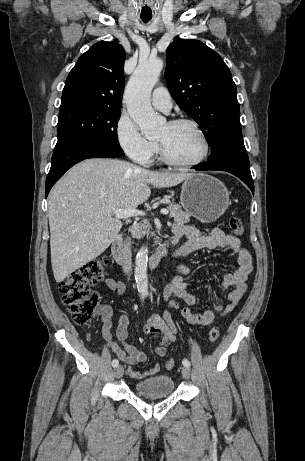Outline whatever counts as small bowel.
<instances>
[{"mask_svg":"<svg viewBox=\"0 0 305 461\" xmlns=\"http://www.w3.org/2000/svg\"><path fill=\"white\" fill-rule=\"evenodd\" d=\"M173 235L179 239L182 236L187 241L174 250V258L185 257L201 249H220L228 248L236 257L237 268L225 276L223 288H232L229 294V302L224 305L222 302L212 308H208L200 313L191 310V306L198 303V298L188 291L187 284L184 282V276L190 273L188 267L182 264H176L178 274L173 277L172 281L165 287L163 300L168 301L174 296L176 300L170 301L162 316L155 313L147 321L144 331L147 334L158 336V343L155 347V353L159 357H164L167 353V347L176 341L178 327L175 324L172 312L179 309L186 321L192 325L208 326L213 323L217 316H223L232 312L240 302L247 290L246 280L252 271V257L250 253L242 247L240 240L233 235L227 234L220 228H214L206 234L192 225L175 223L173 225ZM106 286L116 291L119 295L125 292V286L122 282L107 278ZM102 317L103 327L102 334L108 342L111 350L117 358L128 365L127 373L134 379H144L151 377L159 372L160 364L155 363L150 369L145 371H136L134 366L147 360V354L133 344L126 341L128 336L129 316L122 314L117 324L112 321V309L104 305L99 309Z\"/></svg>","mask_w":305,"mask_h":461,"instance_id":"obj_1","label":"small bowel"}]
</instances>
